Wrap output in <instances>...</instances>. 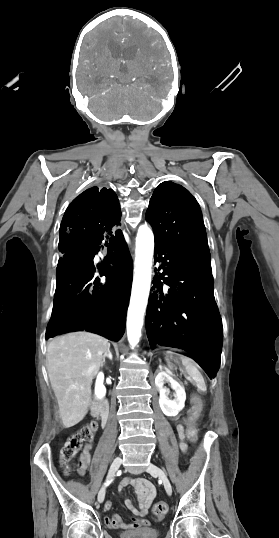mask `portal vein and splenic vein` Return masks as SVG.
<instances>
[{
  "mask_svg": "<svg viewBox=\"0 0 279 538\" xmlns=\"http://www.w3.org/2000/svg\"><path fill=\"white\" fill-rule=\"evenodd\" d=\"M184 384H190V381H184Z\"/></svg>",
  "mask_w": 279,
  "mask_h": 538,
  "instance_id": "1",
  "label": "portal vein and splenic vein"
}]
</instances>
